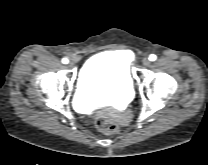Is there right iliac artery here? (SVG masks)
Wrapping results in <instances>:
<instances>
[{
    "instance_id": "1",
    "label": "right iliac artery",
    "mask_w": 208,
    "mask_h": 165,
    "mask_svg": "<svg viewBox=\"0 0 208 165\" xmlns=\"http://www.w3.org/2000/svg\"><path fill=\"white\" fill-rule=\"evenodd\" d=\"M62 63L67 64L68 63V59L67 58H63L62 59Z\"/></svg>"
}]
</instances>
